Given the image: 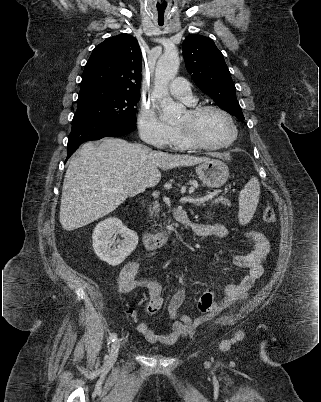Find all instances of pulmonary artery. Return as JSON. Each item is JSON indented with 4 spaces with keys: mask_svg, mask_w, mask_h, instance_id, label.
I'll return each mask as SVG.
<instances>
[{
    "mask_svg": "<svg viewBox=\"0 0 321 402\" xmlns=\"http://www.w3.org/2000/svg\"><path fill=\"white\" fill-rule=\"evenodd\" d=\"M170 93L188 105L195 102L189 83L183 78H175L169 85Z\"/></svg>",
    "mask_w": 321,
    "mask_h": 402,
    "instance_id": "pulmonary-artery-1",
    "label": "pulmonary artery"
}]
</instances>
